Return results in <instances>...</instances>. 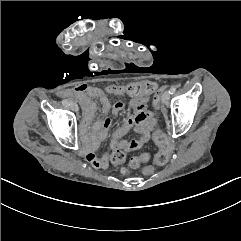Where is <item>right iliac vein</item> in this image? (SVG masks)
<instances>
[{"label":"right iliac vein","instance_id":"1","mask_svg":"<svg viewBox=\"0 0 241 241\" xmlns=\"http://www.w3.org/2000/svg\"><path fill=\"white\" fill-rule=\"evenodd\" d=\"M69 106H70V108L73 110V111H75V112H77L78 111V105L76 104V103H74V102H71L70 104H69Z\"/></svg>","mask_w":241,"mask_h":241}]
</instances>
